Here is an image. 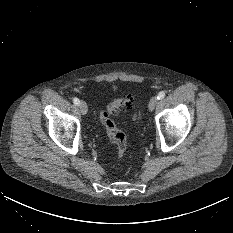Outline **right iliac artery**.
<instances>
[{
	"mask_svg": "<svg viewBox=\"0 0 233 233\" xmlns=\"http://www.w3.org/2000/svg\"><path fill=\"white\" fill-rule=\"evenodd\" d=\"M73 103H74L75 105L79 106L80 101H79L78 98L74 97V98H73Z\"/></svg>",
	"mask_w": 233,
	"mask_h": 233,
	"instance_id": "obj_1",
	"label": "right iliac artery"
}]
</instances>
